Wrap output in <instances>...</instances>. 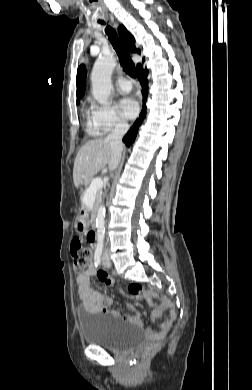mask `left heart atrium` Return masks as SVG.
I'll return each mask as SVG.
<instances>
[{"instance_id":"left-heart-atrium-1","label":"left heart atrium","mask_w":252,"mask_h":390,"mask_svg":"<svg viewBox=\"0 0 252 390\" xmlns=\"http://www.w3.org/2000/svg\"><path fill=\"white\" fill-rule=\"evenodd\" d=\"M120 110L127 119H133L139 112L138 102L132 97H124L120 101Z\"/></svg>"}]
</instances>
